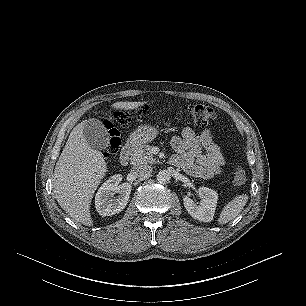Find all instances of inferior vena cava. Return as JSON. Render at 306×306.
Here are the masks:
<instances>
[{
  "instance_id": "1",
  "label": "inferior vena cava",
  "mask_w": 306,
  "mask_h": 306,
  "mask_svg": "<svg viewBox=\"0 0 306 306\" xmlns=\"http://www.w3.org/2000/svg\"><path fill=\"white\" fill-rule=\"evenodd\" d=\"M152 167L149 165H138L132 168L131 172L135 177L141 178L149 176L152 172Z\"/></svg>"
}]
</instances>
